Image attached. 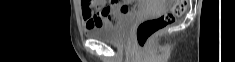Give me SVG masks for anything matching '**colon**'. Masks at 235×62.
<instances>
[{"mask_svg": "<svg viewBox=\"0 0 235 62\" xmlns=\"http://www.w3.org/2000/svg\"><path fill=\"white\" fill-rule=\"evenodd\" d=\"M186 6L187 0H172L168 12L141 21L135 32L137 45L144 48L157 32L174 23L176 18L185 12Z\"/></svg>", "mask_w": 235, "mask_h": 62, "instance_id": "obj_1", "label": "colon"}]
</instances>
